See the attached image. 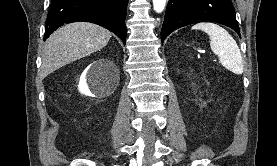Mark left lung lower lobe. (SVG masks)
<instances>
[{"instance_id": "left-lung-lower-lobe-1", "label": "left lung lower lobe", "mask_w": 277, "mask_h": 166, "mask_svg": "<svg viewBox=\"0 0 277 166\" xmlns=\"http://www.w3.org/2000/svg\"><path fill=\"white\" fill-rule=\"evenodd\" d=\"M205 21L226 25L240 36L231 0H169L161 41L178 28Z\"/></svg>"}]
</instances>
